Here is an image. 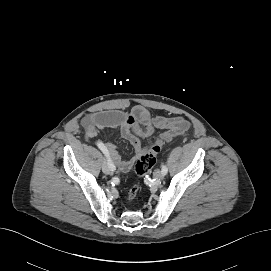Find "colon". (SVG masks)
Wrapping results in <instances>:
<instances>
[{
    "instance_id": "colon-1",
    "label": "colon",
    "mask_w": 271,
    "mask_h": 271,
    "mask_svg": "<svg viewBox=\"0 0 271 271\" xmlns=\"http://www.w3.org/2000/svg\"><path fill=\"white\" fill-rule=\"evenodd\" d=\"M161 150L160 143H154L150 146L148 151L144 152L134 165V172L138 178H141L147 174L156 162V156ZM139 190L138 184L131 187L127 194V202H131L135 199Z\"/></svg>"
}]
</instances>
